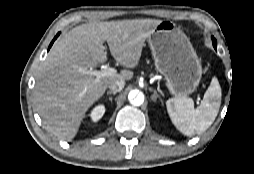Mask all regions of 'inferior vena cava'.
Segmentation results:
<instances>
[{
	"mask_svg": "<svg viewBox=\"0 0 254 174\" xmlns=\"http://www.w3.org/2000/svg\"><path fill=\"white\" fill-rule=\"evenodd\" d=\"M125 86V81L117 80L109 84L108 88L111 91L120 92Z\"/></svg>",
	"mask_w": 254,
	"mask_h": 174,
	"instance_id": "602c4592",
	"label": "inferior vena cava"
}]
</instances>
